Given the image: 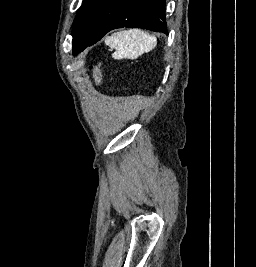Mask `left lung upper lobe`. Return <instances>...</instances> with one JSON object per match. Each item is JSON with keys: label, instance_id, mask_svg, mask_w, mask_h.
Wrapping results in <instances>:
<instances>
[{"label": "left lung upper lobe", "instance_id": "obj_1", "mask_svg": "<svg viewBox=\"0 0 256 267\" xmlns=\"http://www.w3.org/2000/svg\"><path fill=\"white\" fill-rule=\"evenodd\" d=\"M165 0H84L74 20L73 55L121 27L167 33Z\"/></svg>", "mask_w": 256, "mask_h": 267}]
</instances>
